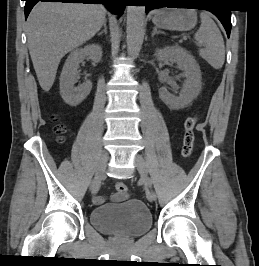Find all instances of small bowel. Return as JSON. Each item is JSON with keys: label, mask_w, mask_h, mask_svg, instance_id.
<instances>
[{"label": "small bowel", "mask_w": 259, "mask_h": 266, "mask_svg": "<svg viewBox=\"0 0 259 266\" xmlns=\"http://www.w3.org/2000/svg\"><path fill=\"white\" fill-rule=\"evenodd\" d=\"M127 193L126 194H119V193H114L111 198L115 202H121L127 198ZM105 202V198L103 196H96L94 198V203L97 205L103 204Z\"/></svg>", "instance_id": "obj_1"}]
</instances>
